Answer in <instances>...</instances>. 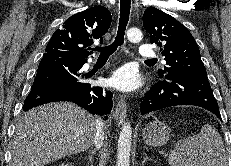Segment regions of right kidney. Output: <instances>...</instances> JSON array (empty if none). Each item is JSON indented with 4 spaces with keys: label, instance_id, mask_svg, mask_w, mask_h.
I'll return each mask as SVG.
<instances>
[{
    "label": "right kidney",
    "instance_id": "right-kidney-1",
    "mask_svg": "<svg viewBox=\"0 0 231 166\" xmlns=\"http://www.w3.org/2000/svg\"><path fill=\"white\" fill-rule=\"evenodd\" d=\"M60 166H72V165H69V164H62Z\"/></svg>",
    "mask_w": 231,
    "mask_h": 166
}]
</instances>
